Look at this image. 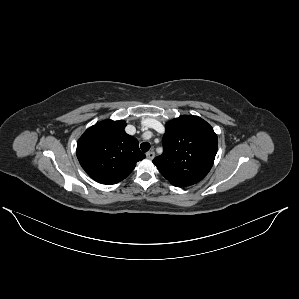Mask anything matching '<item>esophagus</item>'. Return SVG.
<instances>
[{
	"label": "esophagus",
	"instance_id": "obj_1",
	"mask_svg": "<svg viewBox=\"0 0 299 299\" xmlns=\"http://www.w3.org/2000/svg\"><path fill=\"white\" fill-rule=\"evenodd\" d=\"M146 156L148 159H153L155 156V153H154V151L151 150V151L147 152Z\"/></svg>",
	"mask_w": 299,
	"mask_h": 299
}]
</instances>
